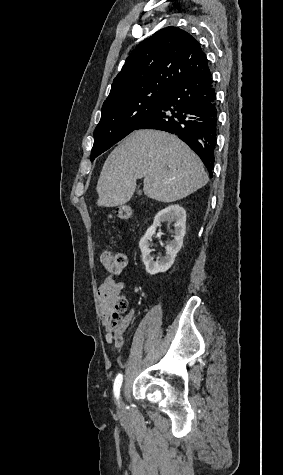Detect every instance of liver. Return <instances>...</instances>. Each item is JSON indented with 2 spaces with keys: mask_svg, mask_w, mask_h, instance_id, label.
<instances>
[{
  "mask_svg": "<svg viewBox=\"0 0 283 475\" xmlns=\"http://www.w3.org/2000/svg\"><path fill=\"white\" fill-rule=\"evenodd\" d=\"M139 178L145 196L158 202H177L209 182L200 158L177 136L135 130L108 156L96 188L97 206L127 204Z\"/></svg>",
  "mask_w": 283,
  "mask_h": 475,
  "instance_id": "liver-1",
  "label": "liver"
}]
</instances>
